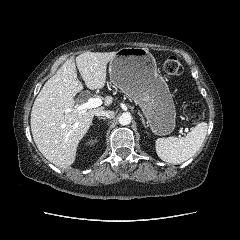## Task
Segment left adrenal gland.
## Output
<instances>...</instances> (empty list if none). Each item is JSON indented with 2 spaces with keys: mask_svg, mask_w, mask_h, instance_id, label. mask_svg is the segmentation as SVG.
I'll list each match as a JSON object with an SVG mask.
<instances>
[{
  "mask_svg": "<svg viewBox=\"0 0 240 240\" xmlns=\"http://www.w3.org/2000/svg\"><path fill=\"white\" fill-rule=\"evenodd\" d=\"M138 115L141 117V121H142V123L144 124V126L146 127V125H145V120H144V118H143V115H142L140 112H138Z\"/></svg>",
  "mask_w": 240,
  "mask_h": 240,
  "instance_id": "obj_1",
  "label": "left adrenal gland"
}]
</instances>
